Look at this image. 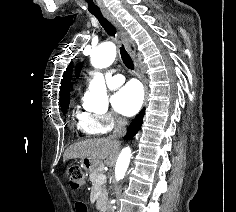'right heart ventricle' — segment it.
<instances>
[{"label": "right heart ventricle", "instance_id": "right-heart-ventricle-1", "mask_svg": "<svg viewBox=\"0 0 236 212\" xmlns=\"http://www.w3.org/2000/svg\"><path fill=\"white\" fill-rule=\"evenodd\" d=\"M92 114L88 112L78 111L75 115L76 128L85 135H96L101 133V130L91 121Z\"/></svg>", "mask_w": 236, "mask_h": 212}]
</instances>
